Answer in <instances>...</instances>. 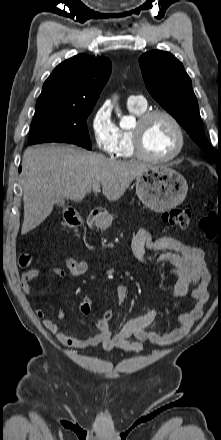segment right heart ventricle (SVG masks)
Returning <instances> with one entry per match:
<instances>
[{"instance_id":"right-heart-ventricle-1","label":"right heart ventricle","mask_w":221,"mask_h":440,"mask_svg":"<svg viewBox=\"0 0 221 440\" xmlns=\"http://www.w3.org/2000/svg\"><path fill=\"white\" fill-rule=\"evenodd\" d=\"M128 108L132 114L139 116L146 111V104L128 103ZM119 133L120 142L115 156L122 159L134 157L135 153L132 144L131 131L127 129H119Z\"/></svg>"}]
</instances>
